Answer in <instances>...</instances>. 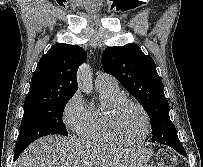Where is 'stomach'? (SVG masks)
I'll use <instances>...</instances> for the list:
<instances>
[{
    "mask_svg": "<svg viewBox=\"0 0 203 167\" xmlns=\"http://www.w3.org/2000/svg\"><path fill=\"white\" fill-rule=\"evenodd\" d=\"M137 167H151V166H148L146 164H142L141 166H137Z\"/></svg>",
    "mask_w": 203,
    "mask_h": 167,
    "instance_id": "0dacf381",
    "label": "stomach"
}]
</instances>
